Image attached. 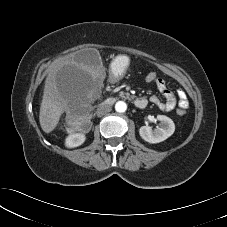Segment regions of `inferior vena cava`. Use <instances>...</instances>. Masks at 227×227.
Segmentation results:
<instances>
[{
  "label": "inferior vena cava",
  "mask_w": 227,
  "mask_h": 227,
  "mask_svg": "<svg viewBox=\"0 0 227 227\" xmlns=\"http://www.w3.org/2000/svg\"><path fill=\"white\" fill-rule=\"evenodd\" d=\"M112 110V107L109 104L102 103L98 106L96 114L98 117H101Z\"/></svg>",
  "instance_id": "602c4592"
}]
</instances>
